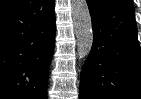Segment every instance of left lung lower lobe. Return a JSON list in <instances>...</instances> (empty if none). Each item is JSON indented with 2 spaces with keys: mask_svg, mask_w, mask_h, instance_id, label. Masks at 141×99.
Wrapping results in <instances>:
<instances>
[{
  "mask_svg": "<svg viewBox=\"0 0 141 99\" xmlns=\"http://www.w3.org/2000/svg\"><path fill=\"white\" fill-rule=\"evenodd\" d=\"M93 45L79 99H141V52L131 0H87Z\"/></svg>",
  "mask_w": 141,
  "mask_h": 99,
  "instance_id": "obj_1",
  "label": "left lung lower lobe"
}]
</instances>
